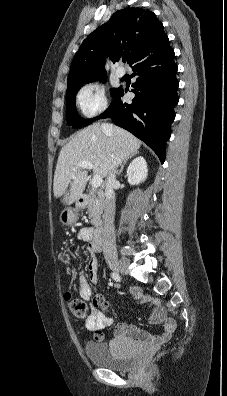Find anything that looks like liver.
I'll return each instance as SVG.
<instances>
[{
    "mask_svg": "<svg viewBox=\"0 0 227 396\" xmlns=\"http://www.w3.org/2000/svg\"><path fill=\"white\" fill-rule=\"evenodd\" d=\"M110 126L111 131L106 132L100 124L90 125L62 147L56 165L53 192L55 197L64 195L63 204H72L85 189L87 171L78 166L80 162H91L93 173L105 178L140 148V140L131 133Z\"/></svg>",
    "mask_w": 227,
    "mask_h": 396,
    "instance_id": "liver-1",
    "label": "liver"
}]
</instances>
